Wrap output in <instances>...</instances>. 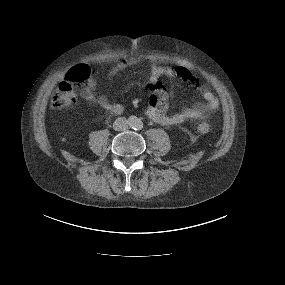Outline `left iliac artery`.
Returning <instances> with one entry per match:
<instances>
[{
  "mask_svg": "<svg viewBox=\"0 0 285 285\" xmlns=\"http://www.w3.org/2000/svg\"><path fill=\"white\" fill-rule=\"evenodd\" d=\"M143 126H142V124H139L138 125V129H141Z\"/></svg>",
  "mask_w": 285,
  "mask_h": 285,
  "instance_id": "1",
  "label": "left iliac artery"
}]
</instances>
